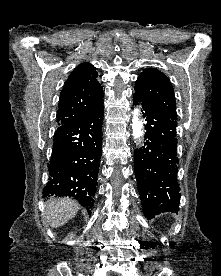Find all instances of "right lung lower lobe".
I'll return each mask as SVG.
<instances>
[{
	"instance_id": "1",
	"label": "right lung lower lobe",
	"mask_w": 221,
	"mask_h": 276,
	"mask_svg": "<svg viewBox=\"0 0 221 276\" xmlns=\"http://www.w3.org/2000/svg\"><path fill=\"white\" fill-rule=\"evenodd\" d=\"M103 103L82 121L59 126L43 195L70 196L91 208L102 155Z\"/></svg>"
}]
</instances>
